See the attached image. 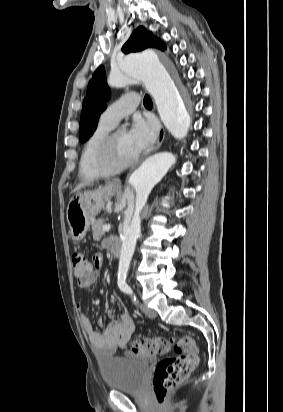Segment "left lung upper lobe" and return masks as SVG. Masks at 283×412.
Listing matches in <instances>:
<instances>
[{
	"mask_svg": "<svg viewBox=\"0 0 283 412\" xmlns=\"http://www.w3.org/2000/svg\"><path fill=\"white\" fill-rule=\"evenodd\" d=\"M165 49V44L144 27H138L129 40L122 47L124 53L139 52L146 48ZM110 98V90L106 83L103 66H100L90 80L86 97L83 101L81 112L79 139L81 142L88 140L96 130L95 121L99 114L105 110L107 101Z\"/></svg>",
	"mask_w": 283,
	"mask_h": 412,
	"instance_id": "1",
	"label": "left lung upper lobe"
}]
</instances>
